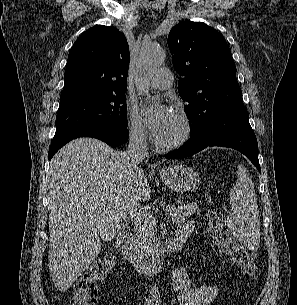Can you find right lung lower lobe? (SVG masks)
I'll list each match as a JSON object with an SVG mask.
<instances>
[{"instance_id": "right-lung-lower-lobe-1", "label": "right lung lower lobe", "mask_w": 297, "mask_h": 305, "mask_svg": "<svg viewBox=\"0 0 297 305\" xmlns=\"http://www.w3.org/2000/svg\"><path fill=\"white\" fill-rule=\"evenodd\" d=\"M79 137H92L104 141L112 147H117L124 144L128 139V130L126 128H113V127H102V128H91L84 131H80L68 139L63 141L57 146H50L49 149V160L53 155L69 141Z\"/></svg>"}]
</instances>
